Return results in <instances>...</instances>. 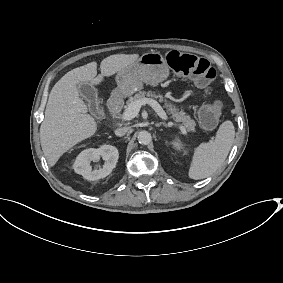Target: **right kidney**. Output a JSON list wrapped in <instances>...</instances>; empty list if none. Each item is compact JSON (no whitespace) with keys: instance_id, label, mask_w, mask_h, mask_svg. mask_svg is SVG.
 I'll use <instances>...</instances> for the list:
<instances>
[{"instance_id":"obj_1","label":"right kidney","mask_w":283,"mask_h":283,"mask_svg":"<svg viewBox=\"0 0 283 283\" xmlns=\"http://www.w3.org/2000/svg\"><path fill=\"white\" fill-rule=\"evenodd\" d=\"M100 157L105 161L102 168L92 170L90 162L99 161ZM119 158L116 147L111 145H102L98 149L89 148L82 151L73 164V169L77 174L82 175L85 179L96 181L108 176L115 168Z\"/></svg>"}]
</instances>
